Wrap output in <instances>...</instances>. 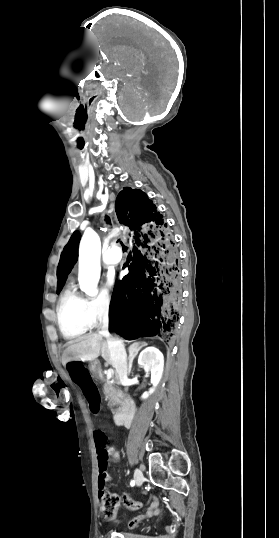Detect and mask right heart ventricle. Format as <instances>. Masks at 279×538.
<instances>
[{
	"mask_svg": "<svg viewBox=\"0 0 279 538\" xmlns=\"http://www.w3.org/2000/svg\"><path fill=\"white\" fill-rule=\"evenodd\" d=\"M85 230L84 236L92 233L87 228ZM89 301V297L77 291L73 281L69 282L57 304V322L65 338L79 337L93 327Z\"/></svg>",
	"mask_w": 279,
	"mask_h": 538,
	"instance_id": "right-heart-ventricle-1",
	"label": "right heart ventricle"
}]
</instances>
